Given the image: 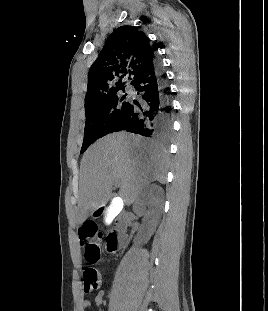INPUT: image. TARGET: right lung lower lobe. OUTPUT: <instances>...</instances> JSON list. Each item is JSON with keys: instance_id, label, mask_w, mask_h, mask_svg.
I'll use <instances>...</instances> for the list:
<instances>
[{"instance_id": "right-lung-lower-lobe-1", "label": "right lung lower lobe", "mask_w": 268, "mask_h": 311, "mask_svg": "<svg viewBox=\"0 0 268 311\" xmlns=\"http://www.w3.org/2000/svg\"><path fill=\"white\" fill-rule=\"evenodd\" d=\"M163 75L161 63L155 57L145 72L131 83L139 95V102L127 103L111 132L125 130L158 140L170 137L173 108Z\"/></svg>"}]
</instances>
